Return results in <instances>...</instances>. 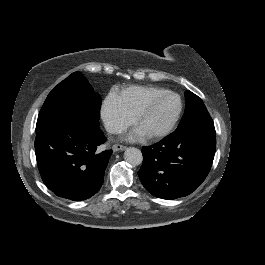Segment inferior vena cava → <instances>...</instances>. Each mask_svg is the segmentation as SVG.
Segmentation results:
<instances>
[{"label": "inferior vena cava", "instance_id": "obj_1", "mask_svg": "<svg viewBox=\"0 0 265 265\" xmlns=\"http://www.w3.org/2000/svg\"><path fill=\"white\" fill-rule=\"evenodd\" d=\"M105 129L108 133H111V134H118V133H121L123 131L121 125H119L117 123L110 122V121L105 123Z\"/></svg>", "mask_w": 265, "mask_h": 265}]
</instances>
